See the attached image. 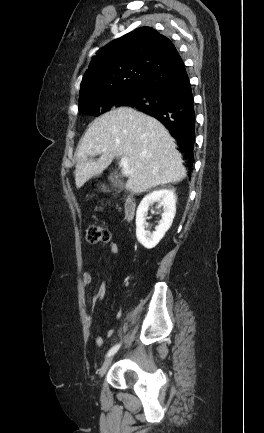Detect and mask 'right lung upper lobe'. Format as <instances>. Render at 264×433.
Segmentation results:
<instances>
[{
    "label": "right lung upper lobe",
    "instance_id": "1",
    "mask_svg": "<svg viewBox=\"0 0 264 433\" xmlns=\"http://www.w3.org/2000/svg\"><path fill=\"white\" fill-rule=\"evenodd\" d=\"M175 52L173 43L151 27L127 33L92 57L83 76L79 100L140 85Z\"/></svg>",
    "mask_w": 264,
    "mask_h": 433
}]
</instances>
